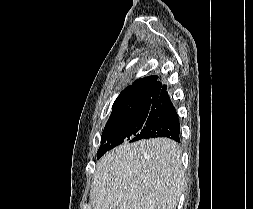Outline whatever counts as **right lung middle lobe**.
<instances>
[{"instance_id":"obj_1","label":"right lung middle lobe","mask_w":253,"mask_h":209,"mask_svg":"<svg viewBox=\"0 0 253 209\" xmlns=\"http://www.w3.org/2000/svg\"><path fill=\"white\" fill-rule=\"evenodd\" d=\"M158 116V110L148 107L134 110L108 121L101 136L97 157L100 158L107 151L123 142L142 139L140 134L150 130L156 123Z\"/></svg>"}]
</instances>
